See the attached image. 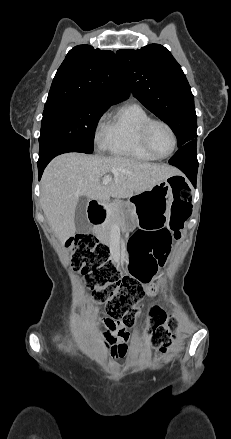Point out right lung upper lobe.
Segmentation results:
<instances>
[{
    "label": "right lung upper lobe",
    "instance_id": "1",
    "mask_svg": "<svg viewBox=\"0 0 231 439\" xmlns=\"http://www.w3.org/2000/svg\"><path fill=\"white\" fill-rule=\"evenodd\" d=\"M129 95L112 51L78 45L57 70L45 105L86 101L111 106Z\"/></svg>",
    "mask_w": 231,
    "mask_h": 439
}]
</instances>
